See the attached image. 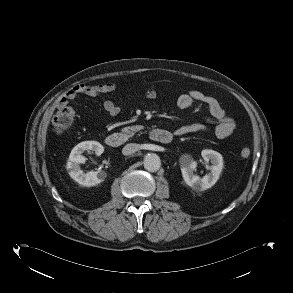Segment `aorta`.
<instances>
[{
	"label": "aorta",
	"instance_id": "aorta-1",
	"mask_svg": "<svg viewBox=\"0 0 293 293\" xmlns=\"http://www.w3.org/2000/svg\"><path fill=\"white\" fill-rule=\"evenodd\" d=\"M161 167L160 157L154 153H149L144 157V168L149 172H156Z\"/></svg>",
	"mask_w": 293,
	"mask_h": 293
}]
</instances>
